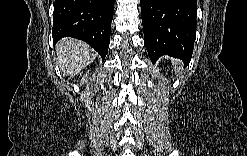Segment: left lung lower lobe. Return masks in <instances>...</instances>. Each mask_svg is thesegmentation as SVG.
I'll return each instance as SVG.
<instances>
[{"instance_id": "0a47b994", "label": "left lung lower lobe", "mask_w": 247, "mask_h": 156, "mask_svg": "<svg viewBox=\"0 0 247 156\" xmlns=\"http://www.w3.org/2000/svg\"><path fill=\"white\" fill-rule=\"evenodd\" d=\"M145 47L152 62L163 55L191 60L196 38V0H141Z\"/></svg>"}]
</instances>
